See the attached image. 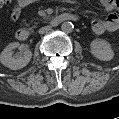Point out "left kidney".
<instances>
[{
	"instance_id": "obj_1",
	"label": "left kidney",
	"mask_w": 119,
	"mask_h": 119,
	"mask_svg": "<svg viewBox=\"0 0 119 119\" xmlns=\"http://www.w3.org/2000/svg\"><path fill=\"white\" fill-rule=\"evenodd\" d=\"M91 53L94 57L102 61H109L113 58L114 52L111 45L103 39H94L91 44Z\"/></svg>"
}]
</instances>
